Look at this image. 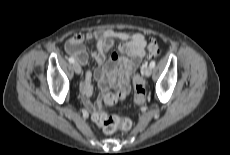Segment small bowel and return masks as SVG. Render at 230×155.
<instances>
[{
    "instance_id": "c3829d8e",
    "label": "small bowel",
    "mask_w": 230,
    "mask_h": 155,
    "mask_svg": "<svg viewBox=\"0 0 230 155\" xmlns=\"http://www.w3.org/2000/svg\"><path fill=\"white\" fill-rule=\"evenodd\" d=\"M94 41L95 49L91 57L98 63L92 73L87 71L81 85L82 101L90 112L117 103L124 99L130 91V77L137 70L145 55L146 39L139 32H115L113 30H98L86 34H76L66 42V52L76 59L78 64L85 65L88 55L82 44ZM119 42V53H113L107 63L106 53ZM97 79L102 95L96 102H92L91 77ZM110 88L116 91L109 93ZM110 97H114L113 101Z\"/></svg>"
}]
</instances>
